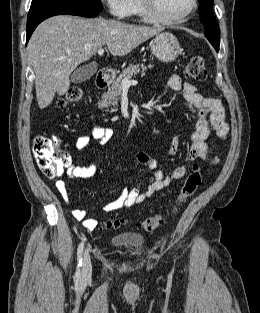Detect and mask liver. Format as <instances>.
<instances>
[{
	"instance_id": "1",
	"label": "liver",
	"mask_w": 260,
	"mask_h": 313,
	"mask_svg": "<svg viewBox=\"0 0 260 313\" xmlns=\"http://www.w3.org/2000/svg\"><path fill=\"white\" fill-rule=\"evenodd\" d=\"M162 30L101 17L59 15L43 21L27 47L39 108L50 105L56 93L64 95L70 87V74L104 45L113 56L121 57Z\"/></svg>"
}]
</instances>
